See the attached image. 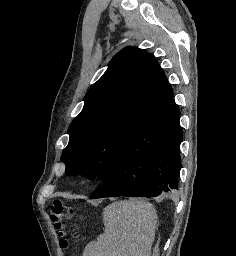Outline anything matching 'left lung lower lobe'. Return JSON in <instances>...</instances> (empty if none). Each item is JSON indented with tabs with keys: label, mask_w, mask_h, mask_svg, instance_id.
<instances>
[{
	"label": "left lung lower lobe",
	"mask_w": 236,
	"mask_h": 256,
	"mask_svg": "<svg viewBox=\"0 0 236 256\" xmlns=\"http://www.w3.org/2000/svg\"><path fill=\"white\" fill-rule=\"evenodd\" d=\"M179 118L173 97L147 116L130 136L107 179L90 198L155 197L176 189L181 168Z\"/></svg>",
	"instance_id": "0a47b994"
}]
</instances>
